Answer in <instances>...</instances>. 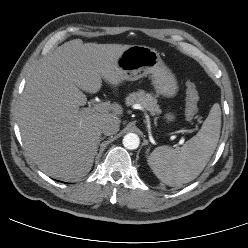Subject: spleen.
<instances>
[{"mask_svg":"<svg viewBox=\"0 0 248 248\" xmlns=\"http://www.w3.org/2000/svg\"><path fill=\"white\" fill-rule=\"evenodd\" d=\"M221 109L215 103L198 133L180 148L160 146L148 157L157 178L169 186H182L197 178L209 162L220 137Z\"/></svg>","mask_w":248,"mask_h":248,"instance_id":"spleen-1","label":"spleen"}]
</instances>
